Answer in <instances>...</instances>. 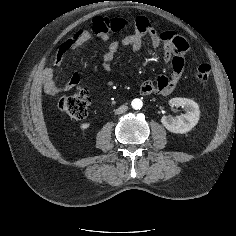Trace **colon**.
<instances>
[{"label":"colon","mask_w":236,"mask_h":236,"mask_svg":"<svg viewBox=\"0 0 236 236\" xmlns=\"http://www.w3.org/2000/svg\"><path fill=\"white\" fill-rule=\"evenodd\" d=\"M143 17L136 19L135 23ZM102 26L103 29L117 32L125 29L128 26V21L118 17L111 20L102 17H97L92 22V27ZM211 67L208 64H201L196 69V78L205 82L209 79ZM90 106V97L84 90H79L73 95L62 96L58 101L60 111L72 120H81L86 117Z\"/></svg>","instance_id":"1"}]
</instances>
